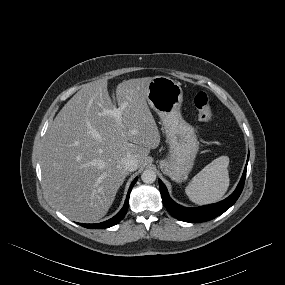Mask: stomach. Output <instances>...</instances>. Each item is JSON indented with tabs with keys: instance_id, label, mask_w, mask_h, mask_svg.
I'll use <instances>...</instances> for the list:
<instances>
[{
	"instance_id": "stomach-1",
	"label": "stomach",
	"mask_w": 285,
	"mask_h": 285,
	"mask_svg": "<svg viewBox=\"0 0 285 285\" xmlns=\"http://www.w3.org/2000/svg\"><path fill=\"white\" fill-rule=\"evenodd\" d=\"M183 91L179 82L155 76L148 86L147 102L158 114L169 145L168 156L160 168L172 180L180 182L192 170L199 149L194 128L181 115Z\"/></svg>"
}]
</instances>
